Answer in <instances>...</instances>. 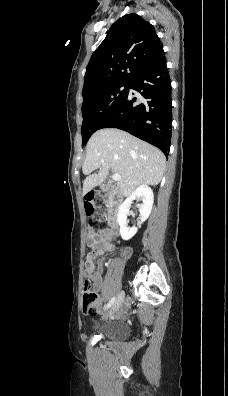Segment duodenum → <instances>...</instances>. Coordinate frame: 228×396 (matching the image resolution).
<instances>
[{
    "instance_id": "obj_1",
    "label": "duodenum",
    "mask_w": 228,
    "mask_h": 396,
    "mask_svg": "<svg viewBox=\"0 0 228 396\" xmlns=\"http://www.w3.org/2000/svg\"><path fill=\"white\" fill-rule=\"evenodd\" d=\"M123 201L121 193L117 190L110 191V206L108 211V222L111 229L119 227L120 207Z\"/></svg>"
}]
</instances>
